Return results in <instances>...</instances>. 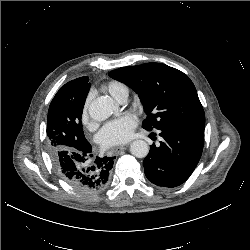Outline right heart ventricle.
I'll use <instances>...</instances> for the list:
<instances>
[{
  "mask_svg": "<svg viewBox=\"0 0 250 250\" xmlns=\"http://www.w3.org/2000/svg\"><path fill=\"white\" fill-rule=\"evenodd\" d=\"M102 90L108 93L113 99L118 101L122 96L129 94L128 87L120 81H110L102 87Z\"/></svg>",
  "mask_w": 250,
  "mask_h": 250,
  "instance_id": "1",
  "label": "right heart ventricle"
}]
</instances>
